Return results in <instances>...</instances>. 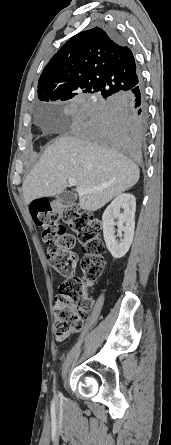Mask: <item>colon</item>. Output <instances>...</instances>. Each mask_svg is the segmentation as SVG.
<instances>
[{
    "instance_id": "1",
    "label": "colon",
    "mask_w": 171,
    "mask_h": 445,
    "mask_svg": "<svg viewBox=\"0 0 171 445\" xmlns=\"http://www.w3.org/2000/svg\"><path fill=\"white\" fill-rule=\"evenodd\" d=\"M36 226L42 228V240L52 245L47 253L50 267L66 277L60 285L54 305V334L67 338L82 327L86 312L91 307L88 286L101 274L104 267L105 245L100 238L102 222L93 213L79 210L73 204L36 200L30 204ZM78 242L83 250V277L74 275L77 257L72 248Z\"/></svg>"
}]
</instances>
